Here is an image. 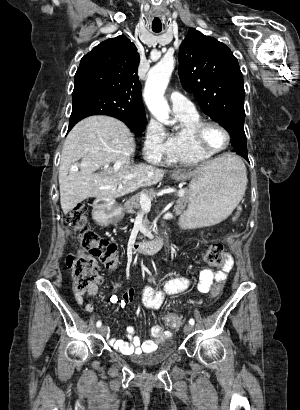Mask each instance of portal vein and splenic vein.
Returning <instances> with one entry per match:
<instances>
[{"label": "portal vein and splenic vein", "mask_w": 300, "mask_h": 410, "mask_svg": "<svg viewBox=\"0 0 300 410\" xmlns=\"http://www.w3.org/2000/svg\"><path fill=\"white\" fill-rule=\"evenodd\" d=\"M119 167H120V163H115L114 168L118 169ZM185 194H186V192L182 189L177 192V195L179 197H182ZM140 204H141L142 207H144V209L146 211H150V209H151V199L149 198V196L147 194L142 193L140 195Z\"/></svg>", "instance_id": "obj_1"}]
</instances>
